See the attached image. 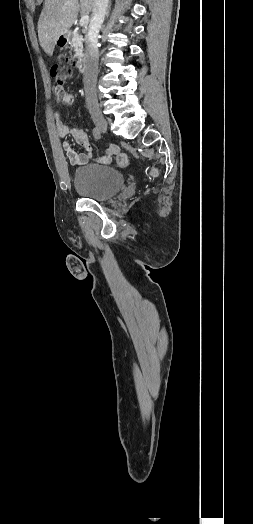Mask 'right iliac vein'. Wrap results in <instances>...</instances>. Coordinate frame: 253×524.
<instances>
[{"label":"right iliac vein","instance_id":"obj_1","mask_svg":"<svg viewBox=\"0 0 253 524\" xmlns=\"http://www.w3.org/2000/svg\"><path fill=\"white\" fill-rule=\"evenodd\" d=\"M90 114L92 117V120L95 124V126L98 128L101 132H106L108 123L105 119V117L102 115V113L98 109H91Z\"/></svg>","mask_w":253,"mask_h":524}]
</instances>
